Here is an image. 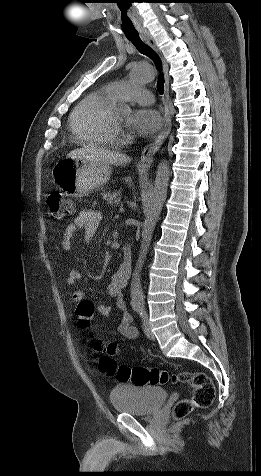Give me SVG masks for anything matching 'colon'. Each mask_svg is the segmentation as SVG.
I'll use <instances>...</instances> for the list:
<instances>
[{
    "label": "colon",
    "instance_id": "colon-1",
    "mask_svg": "<svg viewBox=\"0 0 261 476\" xmlns=\"http://www.w3.org/2000/svg\"><path fill=\"white\" fill-rule=\"evenodd\" d=\"M48 216L54 221H62L73 213L71 203L60 193L54 192L47 197ZM77 323L81 328L91 325L94 315V305L88 300L81 301L76 308ZM93 351L101 355L100 370L108 376H117L121 381H130L136 385L165 384L172 380L189 384L194 389L191 400L179 401L174 408V416L178 419L187 416L194 407H208L214 400L215 387L212 380L203 372H180L169 375L166 371L156 367H129L118 366L114 356L118 347L114 343L105 344L99 339L90 340Z\"/></svg>",
    "mask_w": 261,
    "mask_h": 476
}]
</instances>
